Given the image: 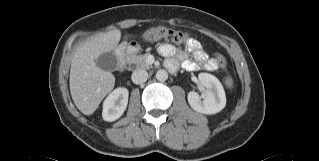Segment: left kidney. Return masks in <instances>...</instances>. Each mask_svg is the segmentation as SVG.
<instances>
[{
  "mask_svg": "<svg viewBox=\"0 0 319 161\" xmlns=\"http://www.w3.org/2000/svg\"><path fill=\"white\" fill-rule=\"evenodd\" d=\"M199 83L206 88L200 96L197 92L188 93V103L192 109L203 114H216L226 105V95L220 81L209 73L198 75Z\"/></svg>",
  "mask_w": 319,
  "mask_h": 161,
  "instance_id": "1",
  "label": "left kidney"
}]
</instances>
